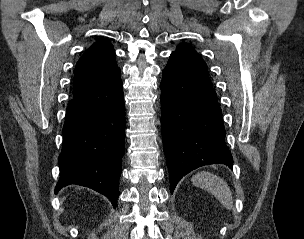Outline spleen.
I'll return each mask as SVG.
<instances>
[{
	"mask_svg": "<svg viewBox=\"0 0 304 239\" xmlns=\"http://www.w3.org/2000/svg\"><path fill=\"white\" fill-rule=\"evenodd\" d=\"M192 183L212 194L226 209L233 208V198L227 183L215 174L199 172L191 179Z\"/></svg>",
	"mask_w": 304,
	"mask_h": 239,
	"instance_id": "1",
	"label": "spleen"
}]
</instances>
